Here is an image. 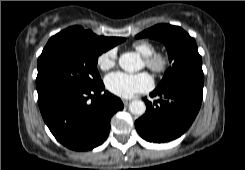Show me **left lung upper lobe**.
Returning a JSON list of instances; mask_svg holds the SVG:
<instances>
[{
  "instance_id": "5c2ea615",
  "label": "left lung upper lobe",
  "mask_w": 245,
  "mask_h": 170,
  "mask_svg": "<svg viewBox=\"0 0 245 170\" xmlns=\"http://www.w3.org/2000/svg\"><path fill=\"white\" fill-rule=\"evenodd\" d=\"M143 37L161 41L166 46L169 61L172 62L156 89L178 82L203 85L202 58L196 42L181 27L158 24L136 35V38Z\"/></svg>"
}]
</instances>
